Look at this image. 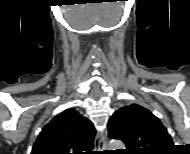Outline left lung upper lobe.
Masks as SVG:
<instances>
[{
  "label": "left lung upper lobe",
  "instance_id": "left-lung-upper-lobe-1",
  "mask_svg": "<svg viewBox=\"0 0 190 154\" xmlns=\"http://www.w3.org/2000/svg\"><path fill=\"white\" fill-rule=\"evenodd\" d=\"M108 135L122 140L128 154H159L174 145L161 121L137 104L120 108L110 117Z\"/></svg>",
  "mask_w": 190,
  "mask_h": 154
}]
</instances>
